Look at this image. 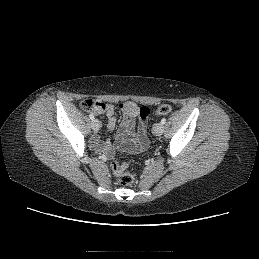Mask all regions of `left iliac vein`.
<instances>
[{"instance_id": "1", "label": "left iliac vein", "mask_w": 259, "mask_h": 259, "mask_svg": "<svg viewBox=\"0 0 259 259\" xmlns=\"http://www.w3.org/2000/svg\"><path fill=\"white\" fill-rule=\"evenodd\" d=\"M153 131H154V134H155L156 136L162 135V133H163V131H164V126H163V124H162V123H157V124L154 126Z\"/></svg>"}]
</instances>
